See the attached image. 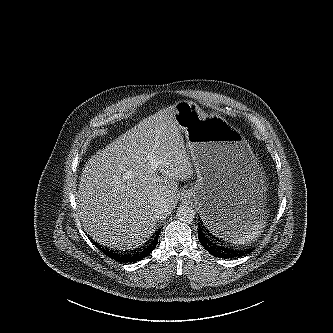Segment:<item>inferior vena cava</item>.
<instances>
[{
	"label": "inferior vena cava",
	"instance_id": "inferior-vena-cava-1",
	"mask_svg": "<svg viewBox=\"0 0 333 333\" xmlns=\"http://www.w3.org/2000/svg\"><path fill=\"white\" fill-rule=\"evenodd\" d=\"M156 211L159 215H162V214H165L168 212L166 205H164V204H159Z\"/></svg>",
	"mask_w": 333,
	"mask_h": 333
}]
</instances>
